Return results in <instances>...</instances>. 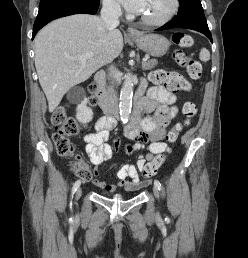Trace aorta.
<instances>
[{"instance_id":"aorta-1","label":"aorta","mask_w":248,"mask_h":258,"mask_svg":"<svg viewBox=\"0 0 248 258\" xmlns=\"http://www.w3.org/2000/svg\"><path fill=\"white\" fill-rule=\"evenodd\" d=\"M132 97H133V77L130 72L125 75V80L121 88L120 93V119L123 123L128 121L132 108Z\"/></svg>"}]
</instances>
